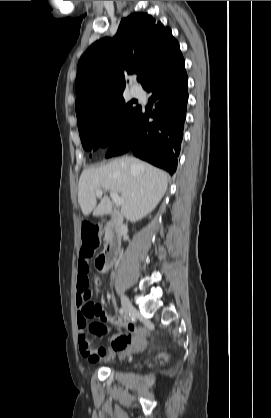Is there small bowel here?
<instances>
[{
    "label": "small bowel",
    "instance_id": "1",
    "mask_svg": "<svg viewBox=\"0 0 271 418\" xmlns=\"http://www.w3.org/2000/svg\"><path fill=\"white\" fill-rule=\"evenodd\" d=\"M88 261L81 259L78 264L77 295L78 306L77 323L80 330L84 331L85 339H94L95 333L105 332L107 327L101 325L104 321H116L107 313L97 299H93L89 289ZM82 335V334H81ZM145 345L144 333L134 324H127L125 330L111 337L109 348H94L89 342H83L80 336L79 349L81 354L91 363L113 359L116 356L124 357L132 351L139 350Z\"/></svg>",
    "mask_w": 271,
    "mask_h": 418
}]
</instances>
